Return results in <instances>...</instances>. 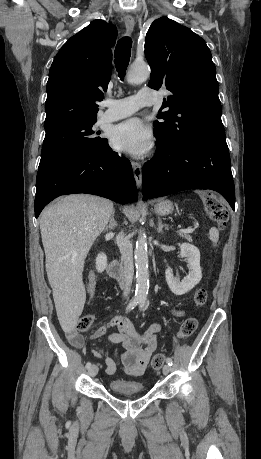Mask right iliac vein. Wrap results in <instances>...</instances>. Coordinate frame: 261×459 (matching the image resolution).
Here are the masks:
<instances>
[{"label":"right iliac vein","mask_w":261,"mask_h":459,"mask_svg":"<svg viewBox=\"0 0 261 459\" xmlns=\"http://www.w3.org/2000/svg\"><path fill=\"white\" fill-rule=\"evenodd\" d=\"M97 373H98V367H97L96 365H92V366L89 368V370H88V374H89V376H91V377L96 376Z\"/></svg>","instance_id":"63e3f726"}]
</instances>
